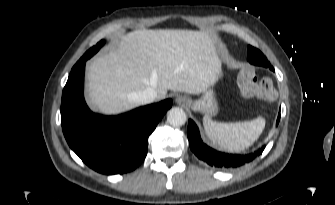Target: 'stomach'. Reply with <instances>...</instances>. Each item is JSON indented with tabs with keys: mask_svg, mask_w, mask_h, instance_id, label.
<instances>
[{
	"mask_svg": "<svg viewBox=\"0 0 335 205\" xmlns=\"http://www.w3.org/2000/svg\"><path fill=\"white\" fill-rule=\"evenodd\" d=\"M223 76V72L220 68L216 82ZM189 106L194 111L202 112L208 116H213L218 111V102L216 99L215 91L211 88L204 91L201 98L196 101L189 100Z\"/></svg>",
	"mask_w": 335,
	"mask_h": 205,
	"instance_id": "0dacf381",
	"label": "stomach"
}]
</instances>
